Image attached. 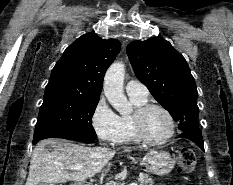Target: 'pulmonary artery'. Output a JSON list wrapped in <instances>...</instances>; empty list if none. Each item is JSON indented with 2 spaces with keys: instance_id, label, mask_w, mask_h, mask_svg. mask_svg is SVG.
I'll return each instance as SVG.
<instances>
[{
  "instance_id": "1",
  "label": "pulmonary artery",
  "mask_w": 233,
  "mask_h": 185,
  "mask_svg": "<svg viewBox=\"0 0 233 185\" xmlns=\"http://www.w3.org/2000/svg\"><path fill=\"white\" fill-rule=\"evenodd\" d=\"M126 92L129 96L145 98L148 96V89L146 86L137 81L129 80L126 84Z\"/></svg>"
}]
</instances>
